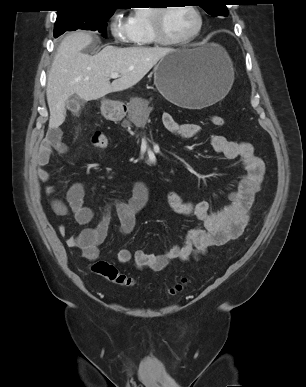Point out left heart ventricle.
Listing matches in <instances>:
<instances>
[{
	"instance_id": "1",
	"label": "left heart ventricle",
	"mask_w": 306,
	"mask_h": 387,
	"mask_svg": "<svg viewBox=\"0 0 306 387\" xmlns=\"http://www.w3.org/2000/svg\"><path fill=\"white\" fill-rule=\"evenodd\" d=\"M196 17L187 7H170L163 17V29L168 38L182 39L196 27Z\"/></svg>"
}]
</instances>
